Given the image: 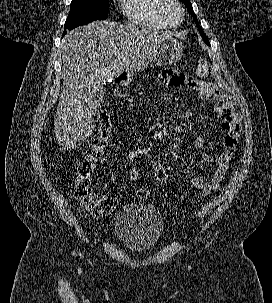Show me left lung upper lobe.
Masks as SVG:
<instances>
[{"label":"left lung upper lobe","mask_w":272,"mask_h":303,"mask_svg":"<svg viewBox=\"0 0 272 303\" xmlns=\"http://www.w3.org/2000/svg\"><path fill=\"white\" fill-rule=\"evenodd\" d=\"M187 7L188 12L193 16L194 21L196 22L197 27L199 28V32L203 38V40L205 41L206 44L209 45V41L208 38L206 37V35L204 34L201 26L198 23L197 17L195 15V13L193 12V8H192V4L189 0H181Z\"/></svg>","instance_id":"1"}]
</instances>
